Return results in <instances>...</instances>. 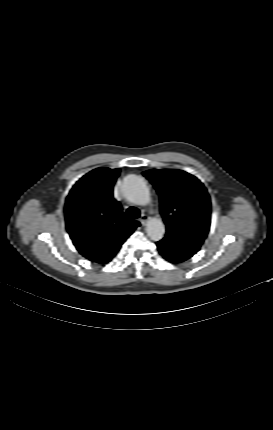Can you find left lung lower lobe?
Returning <instances> with one entry per match:
<instances>
[{"mask_svg": "<svg viewBox=\"0 0 273 430\" xmlns=\"http://www.w3.org/2000/svg\"><path fill=\"white\" fill-rule=\"evenodd\" d=\"M156 244H157V247L159 249V252L169 262L180 263V262H183V261L188 259L186 254H173V255L167 254L166 252L163 251V247L161 244H159L158 242Z\"/></svg>", "mask_w": 273, "mask_h": 430, "instance_id": "0a47b994", "label": "left lung lower lobe"}]
</instances>
